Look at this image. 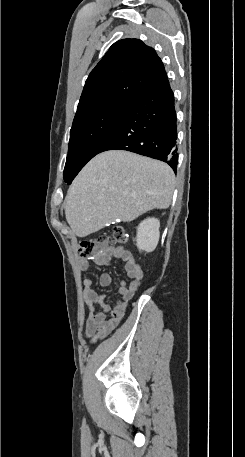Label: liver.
Masks as SVG:
<instances>
[{
	"instance_id": "liver-1",
	"label": "liver",
	"mask_w": 245,
	"mask_h": 457,
	"mask_svg": "<svg viewBox=\"0 0 245 457\" xmlns=\"http://www.w3.org/2000/svg\"><path fill=\"white\" fill-rule=\"evenodd\" d=\"M175 174L166 162L129 150H106L89 160L65 198L76 237H88L116 218L134 220L152 208H168Z\"/></svg>"
}]
</instances>
